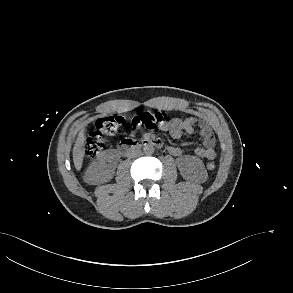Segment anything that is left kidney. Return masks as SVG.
Segmentation results:
<instances>
[{
	"label": "left kidney",
	"mask_w": 293,
	"mask_h": 293,
	"mask_svg": "<svg viewBox=\"0 0 293 293\" xmlns=\"http://www.w3.org/2000/svg\"><path fill=\"white\" fill-rule=\"evenodd\" d=\"M178 169L186 180L201 181L207 178L202 160L196 156L184 155L177 160Z\"/></svg>",
	"instance_id": "obj_1"
}]
</instances>
